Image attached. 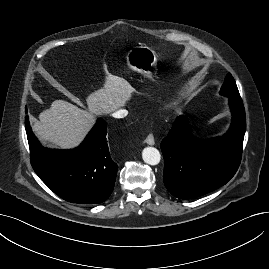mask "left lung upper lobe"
<instances>
[{
    "label": "left lung upper lobe",
    "instance_id": "5c2ea615",
    "mask_svg": "<svg viewBox=\"0 0 269 269\" xmlns=\"http://www.w3.org/2000/svg\"><path fill=\"white\" fill-rule=\"evenodd\" d=\"M220 94L229 98H241L235 80L230 73L225 77Z\"/></svg>",
    "mask_w": 269,
    "mask_h": 269
}]
</instances>
